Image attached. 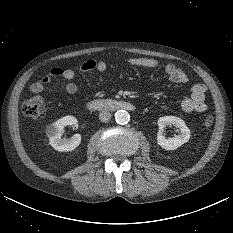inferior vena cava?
I'll return each instance as SVG.
<instances>
[{"label":"inferior vena cava","mask_w":233,"mask_h":233,"mask_svg":"<svg viewBox=\"0 0 233 233\" xmlns=\"http://www.w3.org/2000/svg\"><path fill=\"white\" fill-rule=\"evenodd\" d=\"M99 119L101 122H108L111 119V113L108 110H102L99 113Z\"/></svg>","instance_id":"602c4592"}]
</instances>
